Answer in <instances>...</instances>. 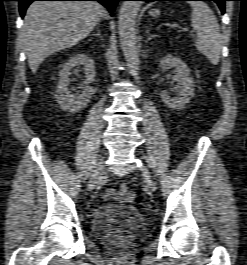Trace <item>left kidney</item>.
I'll use <instances>...</instances> for the list:
<instances>
[{
    "mask_svg": "<svg viewBox=\"0 0 247 265\" xmlns=\"http://www.w3.org/2000/svg\"><path fill=\"white\" fill-rule=\"evenodd\" d=\"M160 68L169 69L174 68L176 73L174 80L178 82V96L170 97L168 93L162 92V101L171 109L180 110L185 107L189 100L193 97L195 85L193 78L190 76L188 66L178 57L167 55L159 62Z\"/></svg>",
    "mask_w": 247,
    "mask_h": 265,
    "instance_id": "5707ae66",
    "label": "left kidney"
}]
</instances>
